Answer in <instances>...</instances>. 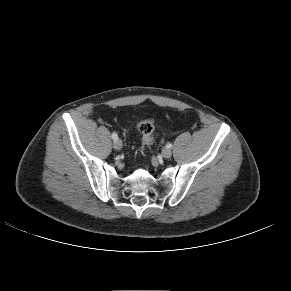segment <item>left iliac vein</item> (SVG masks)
Instances as JSON below:
<instances>
[{
  "label": "left iliac vein",
  "mask_w": 291,
  "mask_h": 291,
  "mask_svg": "<svg viewBox=\"0 0 291 291\" xmlns=\"http://www.w3.org/2000/svg\"><path fill=\"white\" fill-rule=\"evenodd\" d=\"M162 155L164 158H170L172 155V151L169 148H164L162 150Z\"/></svg>",
  "instance_id": "1"
}]
</instances>
